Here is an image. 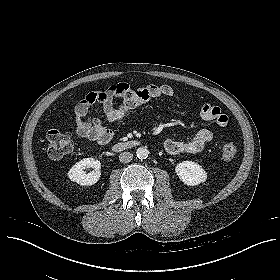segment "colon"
I'll use <instances>...</instances> for the list:
<instances>
[{
  "label": "colon",
  "mask_w": 280,
  "mask_h": 280,
  "mask_svg": "<svg viewBox=\"0 0 280 280\" xmlns=\"http://www.w3.org/2000/svg\"><path fill=\"white\" fill-rule=\"evenodd\" d=\"M203 117L206 119L214 120L221 127H226L229 122L228 116L222 113L221 109L217 106H204ZM90 135L93 139L101 138L104 142H108L110 139V132L107 130H92ZM72 150L73 147L71 145L69 137L59 129H52L47 133V153L50 158H62L63 156L70 154ZM236 152L237 148L233 143H226L222 147V158L225 161H230L235 157Z\"/></svg>",
  "instance_id": "5ec220e1"
}]
</instances>
